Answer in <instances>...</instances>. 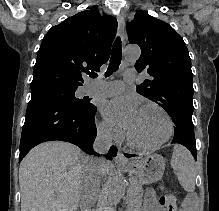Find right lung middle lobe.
I'll return each instance as SVG.
<instances>
[{
	"label": "right lung middle lobe",
	"mask_w": 219,
	"mask_h": 211,
	"mask_svg": "<svg viewBox=\"0 0 219 211\" xmlns=\"http://www.w3.org/2000/svg\"><path fill=\"white\" fill-rule=\"evenodd\" d=\"M45 89H54L60 94H62L70 103L77 107H91L93 104L89 102V100L78 99L74 96L77 87L64 86V85H49L44 87Z\"/></svg>",
	"instance_id": "dd1d6c3e"
}]
</instances>
